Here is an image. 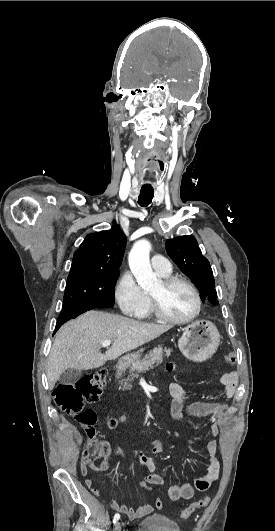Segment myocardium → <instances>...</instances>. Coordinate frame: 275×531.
Returning a JSON list of instances; mask_svg holds the SVG:
<instances>
[{
    "label": "myocardium",
    "mask_w": 275,
    "mask_h": 531,
    "mask_svg": "<svg viewBox=\"0 0 275 531\" xmlns=\"http://www.w3.org/2000/svg\"><path fill=\"white\" fill-rule=\"evenodd\" d=\"M161 281H162L164 286H170V285L175 284V283H182L185 286H187L189 288V290L192 292L193 296H194L195 309L187 317H184V318H173V317L169 316L168 314H166L163 311L158 298L156 296H154L153 294H151L150 296H151V301H152V307H153V311H154L155 315L157 316V318H159L160 320H162V321H164L166 323H170V324H174V325H182V324H187V323L193 321L196 317H198V315L201 312L202 301H201V297H200V294H199L197 288L195 287V285L190 280H188L187 278H185L183 276L166 275V276L162 277Z\"/></svg>",
    "instance_id": "myocardium-1"
}]
</instances>
